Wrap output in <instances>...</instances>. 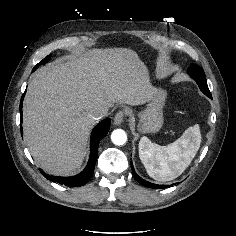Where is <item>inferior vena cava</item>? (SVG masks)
Listing matches in <instances>:
<instances>
[{
	"mask_svg": "<svg viewBox=\"0 0 236 236\" xmlns=\"http://www.w3.org/2000/svg\"><path fill=\"white\" fill-rule=\"evenodd\" d=\"M106 114H107V108L102 106H97L90 110V117L93 118L94 120H99L104 116H106Z\"/></svg>",
	"mask_w": 236,
	"mask_h": 236,
	"instance_id": "602c4592",
	"label": "inferior vena cava"
}]
</instances>
